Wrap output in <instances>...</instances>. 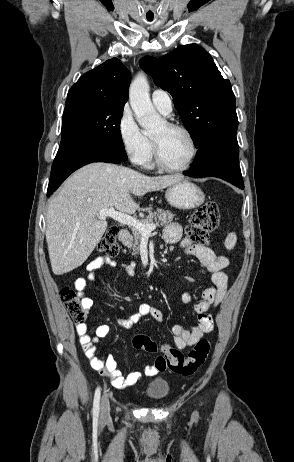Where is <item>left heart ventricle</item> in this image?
I'll list each match as a JSON object with an SVG mask.
<instances>
[{"label":"left heart ventricle","mask_w":294,"mask_h":462,"mask_svg":"<svg viewBox=\"0 0 294 462\" xmlns=\"http://www.w3.org/2000/svg\"><path fill=\"white\" fill-rule=\"evenodd\" d=\"M152 137L158 141L162 159L167 165L182 166L188 161L192 148L185 133L169 129L163 123Z\"/></svg>","instance_id":"b2bd125f"}]
</instances>
